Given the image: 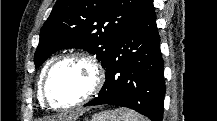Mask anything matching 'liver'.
Here are the masks:
<instances>
[{"mask_svg":"<svg viewBox=\"0 0 217 121\" xmlns=\"http://www.w3.org/2000/svg\"><path fill=\"white\" fill-rule=\"evenodd\" d=\"M58 119L62 121L64 119V117L60 116Z\"/></svg>","mask_w":217,"mask_h":121,"instance_id":"6515ba94","label":"liver"}]
</instances>
